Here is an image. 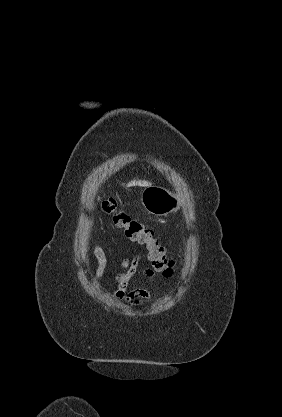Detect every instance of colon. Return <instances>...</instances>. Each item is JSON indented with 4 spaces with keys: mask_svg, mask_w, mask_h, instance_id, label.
Instances as JSON below:
<instances>
[{
    "mask_svg": "<svg viewBox=\"0 0 282 417\" xmlns=\"http://www.w3.org/2000/svg\"><path fill=\"white\" fill-rule=\"evenodd\" d=\"M97 199L104 211L112 217L115 225L124 230L127 237L146 248L153 267L166 275H171L173 262L167 258L165 249L156 239L154 231L139 220L132 219L126 211L118 207L114 198L99 194Z\"/></svg>",
    "mask_w": 282,
    "mask_h": 417,
    "instance_id": "1",
    "label": "colon"
}]
</instances>
